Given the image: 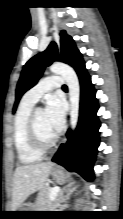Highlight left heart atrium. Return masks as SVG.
<instances>
[{"mask_svg": "<svg viewBox=\"0 0 123 219\" xmlns=\"http://www.w3.org/2000/svg\"><path fill=\"white\" fill-rule=\"evenodd\" d=\"M44 114L50 128L56 135L59 134L65 123V109L62 100L56 96L49 97Z\"/></svg>", "mask_w": 123, "mask_h": 219, "instance_id": "left-heart-atrium-1", "label": "left heart atrium"}]
</instances>
